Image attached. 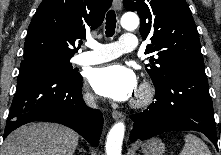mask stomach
<instances>
[{
	"instance_id": "1",
	"label": "stomach",
	"mask_w": 221,
	"mask_h": 155,
	"mask_svg": "<svg viewBox=\"0 0 221 155\" xmlns=\"http://www.w3.org/2000/svg\"><path fill=\"white\" fill-rule=\"evenodd\" d=\"M142 151L144 155H163L165 145L160 139L153 138L143 144Z\"/></svg>"
}]
</instances>
